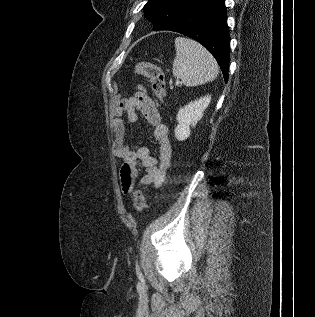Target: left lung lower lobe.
Instances as JSON below:
<instances>
[{
    "mask_svg": "<svg viewBox=\"0 0 315 317\" xmlns=\"http://www.w3.org/2000/svg\"><path fill=\"white\" fill-rule=\"evenodd\" d=\"M167 30L201 43L217 60L225 82L230 62V35L225 0H199Z\"/></svg>",
    "mask_w": 315,
    "mask_h": 317,
    "instance_id": "0a47b994",
    "label": "left lung lower lobe"
}]
</instances>
